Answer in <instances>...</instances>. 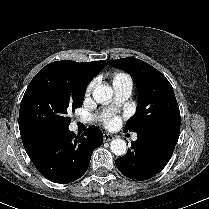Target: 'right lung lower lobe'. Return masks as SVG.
<instances>
[{
    "mask_svg": "<svg viewBox=\"0 0 209 209\" xmlns=\"http://www.w3.org/2000/svg\"><path fill=\"white\" fill-rule=\"evenodd\" d=\"M103 134L90 127L85 135L76 136L69 129L45 139L27 152L38 171L55 183H70L87 170L93 149L99 147Z\"/></svg>",
    "mask_w": 209,
    "mask_h": 209,
    "instance_id": "98d812e1",
    "label": "right lung lower lobe"
}]
</instances>
